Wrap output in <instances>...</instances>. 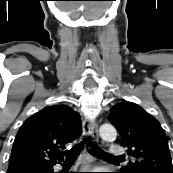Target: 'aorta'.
<instances>
[{
	"label": "aorta",
	"instance_id": "aorta-1",
	"mask_svg": "<svg viewBox=\"0 0 173 173\" xmlns=\"http://www.w3.org/2000/svg\"><path fill=\"white\" fill-rule=\"evenodd\" d=\"M99 133L105 141H113L117 136V131L111 124H103L99 129Z\"/></svg>",
	"mask_w": 173,
	"mask_h": 173
}]
</instances>
